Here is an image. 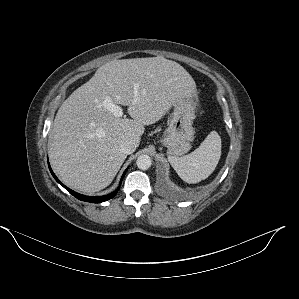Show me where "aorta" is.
Returning a JSON list of instances; mask_svg holds the SVG:
<instances>
[{"mask_svg": "<svg viewBox=\"0 0 299 299\" xmlns=\"http://www.w3.org/2000/svg\"><path fill=\"white\" fill-rule=\"evenodd\" d=\"M136 165L141 170H147L152 165V160L148 155H140L136 160Z\"/></svg>", "mask_w": 299, "mask_h": 299, "instance_id": "aorta-1", "label": "aorta"}]
</instances>
